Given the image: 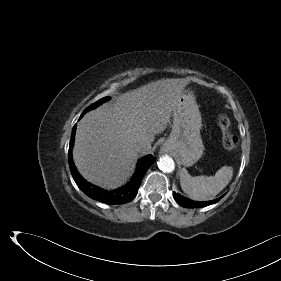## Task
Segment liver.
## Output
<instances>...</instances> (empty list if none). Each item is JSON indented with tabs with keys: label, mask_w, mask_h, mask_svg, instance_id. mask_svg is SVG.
I'll return each mask as SVG.
<instances>
[{
	"label": "liver",
	"mask_w": 281,
	"mask_h": 281,
	"mask_svg": "<svg viewBox=\"0 0 281 281\" xmlns=\"http://www.w3.org/2000/svg\"><path fill=\"white\" fill-rule=\"evenodd\" d=\"M188 83L187 78L160 79L88 112L77 125L73 148L83 178L107 189L122 185L138 158L137 146L151 145L166 129Z\"/></svg>",
	"instance_id": "obj_1"
}]
</instances>
